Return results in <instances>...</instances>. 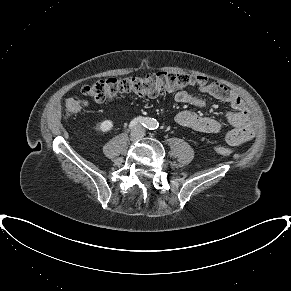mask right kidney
<instances>
[{"instance_id": "obj_1", "label": "right kidney", "mask_w": 291, "mask_h": 291, "mask_svg": "<svg viewBox=\"0 0 291 291\" xmlns=\"http://www.w3.org/2000/svg\"><path fill=\"white\" fill-rule=\"evenodd\" d=\"M114 126V122L112 120H104L102 121L99 126L98 129L102 132V133H106L108 131H110Z\"/></svg>"}]
</instances>
